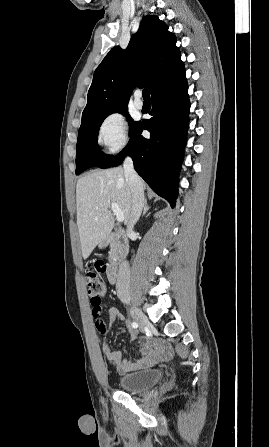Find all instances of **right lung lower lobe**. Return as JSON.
Here are the masks:
<instances>
[{
	"mask_svg": "<svg viewBox=\"0 0 269 447\" xmlns=\"http://www.w3.org/2000/svg\"><path fill=\"white\" fill-rule=\"evenodd\" d=\"M187 89L182 65L151 91L153 118L140 122L124 150L99 166L116 167L126 155L131 156L137 173L172 207L178 195V175L189 123ZM143 129L150 132L149 139L141 135Z\"/></svg>",
	"mask_w": 269,
	"mask_h": 447,
	"instance_id": "obj_1",
	"label": "right lung lower lobe"
}]
</instances>
